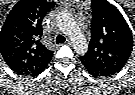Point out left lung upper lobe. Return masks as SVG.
<instances>
[{"label":"left lung upper lobe","mask_w":135,"mask_h":95,"mask_svg":"<svg viewBox=\"0 0 135 95\" xmlns=\"http://www.w3.org/2000/svg\"><path fill=\"white\" fill-rule=\"evenodd\" d=\"M133 45L127 25L104 8H92L91 40L87 53L81 57L89 71L109 73L126 61Z\"/></svg>","instance_id":"obj_1"}]
</instances>
